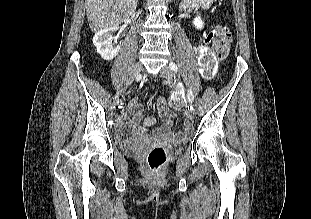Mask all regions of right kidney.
<instances>
[{"label": "right kidney", "mask_w": 311, "mask_h": 219, "mask_svg": "<svg viewBox=\"0 0 311 219\" xmlns=\"http://www.w3.org/2000/svg\"><path fill=\"white\" fill-rule=\"evenodd\" d=\"M116 30L117 27L103 29L97 32L93 38V44L104 60H112L119 53L120 45L112 43L113 33Z\"/></svg>", "instance_id": "1"}]
</instances>
